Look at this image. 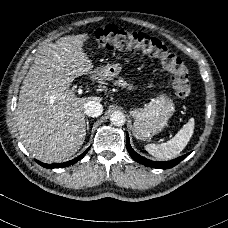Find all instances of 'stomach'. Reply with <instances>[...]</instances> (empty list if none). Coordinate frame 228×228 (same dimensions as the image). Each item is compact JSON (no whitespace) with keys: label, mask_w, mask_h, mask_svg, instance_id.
Masks as SVG:
<instances>
[{"label":"stomach","mask_w":228,"mask_h":228,"mask_svg":"<svg viewBox=\"0 0 228 228\" xmlns=\"http://www.w3.org/2000/svg\"><path fill=\"white\" fill-rule=\"evenodd\" d=\"M121 69L119 63L97 67L94 69V79L113 80L118 77ZM174 112V103L166 94L152 98L143 108L131 110L130 114L134 118V135L141 140L150 139L164 129Z\"/></svg>","instance_id":"obj_1"}]
</instances>
